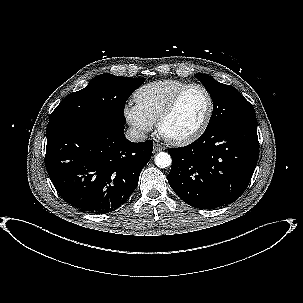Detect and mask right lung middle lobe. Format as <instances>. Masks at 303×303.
Returning <instances> with one entry per match:
<instances>
[{"mask_svg": "<svg viewBox=\"0 0 303 303\" xmlns=\"http://www.w3.org/2000/svg\"><path fill=\"white\" fill-rule=\"evenodd\" d=\"M144 78L101 74L82 90L67 95L49 117V122L76 118H102L125 124L124 107Z\"/></svg>", "mask_w": 303, "mask_h": 303, "instance_id": "dd1d6c3e", "label": "right lung middle lobe"}]
</instances>
